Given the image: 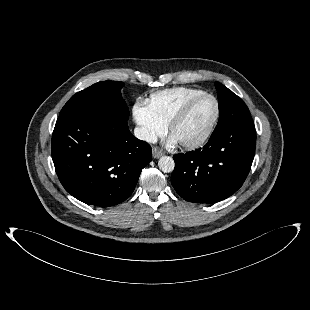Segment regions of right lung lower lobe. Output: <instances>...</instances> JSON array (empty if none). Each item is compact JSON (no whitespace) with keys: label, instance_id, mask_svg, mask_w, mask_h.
I'll return each instance as SVG.
<instances>
[{"label":"right lung lower lobe","instance_id":"1","mask_svg":"<svg viewBox=\"0 0 310 310\" xmlns=\"http://www.w3.org/2000/svg\"><path fill=\"white\" fill-rule=\"evenodd\" d=\"M51 153L67 192L86 204L106 207L131 195L152 158L151 146L131 134L127 119L99 110L59 116Z\"/></svg>","mask_w":310,"mask_h":310}]
</instances>
